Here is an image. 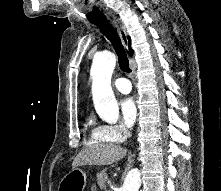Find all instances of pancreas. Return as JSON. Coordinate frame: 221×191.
Returning a JSON list of instances; mask_svg holds the SVG:
<instances>
[{
	"label": "pancreas",
	"instance_id": "obj_1",
	"mask_svg": "<svg viewBox=\"0 0 221 191\" xmlns=\"http://www.w3.org/2000/svg\"><path fill=\"white\" fill-rule=\"evenodd\" d=\"M107 178H108V175L104 171L97 174V183L101 189L106 188Z\"/></svg>",
	"mask_w": 221,
	"mask_h": 191
}]
</instances>
